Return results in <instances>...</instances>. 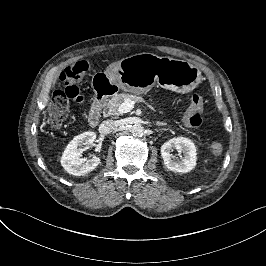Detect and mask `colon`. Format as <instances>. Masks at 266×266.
<instances>
[{
  "instance_id": "obj_1",
  "label": "colon",
  "mask_w": 266,
  "mask_h": 266,
  "mask_svg": "<svg viewBox=\"0 0 266 266\" xmlns=\"http://www.w3.org/2000/svg\"><path fill=\"white\" fill-rule=\"evenodd\" d=\"M89 70V63L84 59H78L73 65L66 67L60 73V80L64 83L63 90H56L51 96V105L43 124L46 134L58 131L63 122L66 120L69 113V101L80 103L84 99L82 92L83 78ZM192 106H199L201 98L198 95H193L191 98ZM188 127L200 129L204 125V117L201 111L195 110L189 114L185 120ZM209 150L214 155H219L222 152V145L213 142L209 145Z\"/></svg>"
}]
</instances>
